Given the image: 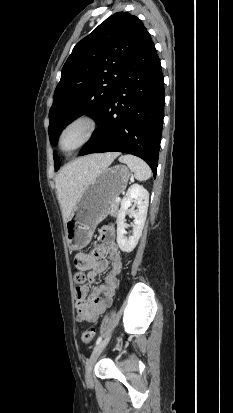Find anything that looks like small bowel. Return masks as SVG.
I'll return each instance as SVG.
<instances>
[{
	"label": "small bowel",
	"mask_w": 233,
	"mask_h": 413,
	"mask_svg": "<svg viewBox=\"0 0 233 413\" xmlns=\"http://www.w3.org/2000/svg\"><path fill=\"white\" fill-rule=\"evenodd\" d=\"M99 239L100 243L89 253L78 254L75 262L79 263L82 270L87 271L90 283L108 268L106 257L111 262V269L100 286L90 290L88 286L75 289L78 322H96L100 314L111 305L117 287V277L122 269L120 251L115 242L114 225H105L100 231Z\"/></svg>",
	"instance_id": "1"
}]
</instances>
